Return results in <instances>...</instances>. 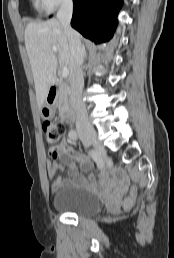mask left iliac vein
<instances>
[{"instance_id": "left-iliac-vein-1", "label": "left iliac vein", "mask_w": 174, "mask_h": 258, "mask_svg": "<svg viewBox=\"0 0 174 258\" xmlns=\"http://www.w3.org/2000/svg\"><path fill=\"white\" fill-rule=\"evenodd\" d=\"M82 141H83V144L85 145V146H89L91 143L88 141V140H86L84 137H82Z\"/></svg>"}]
</instances>
